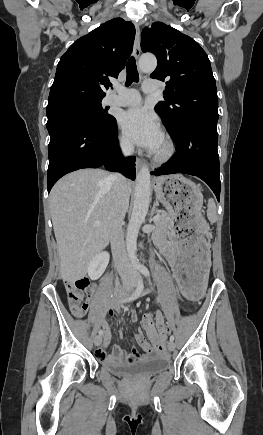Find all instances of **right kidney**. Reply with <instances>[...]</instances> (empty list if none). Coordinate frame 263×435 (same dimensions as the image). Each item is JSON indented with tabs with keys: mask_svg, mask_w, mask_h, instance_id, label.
I'll use <instances>...</instances> for the list:
<instances>
[{
	"mask_svg": "<svg viewBox=\"0 0 263 435\" xmlns=\"http://www.w3.org/2000/svg\"><path fill=\"white\" fill-rule=\"evenodd\" d=\"M109 263V254L107 252L97 253L88 265V276L92 280H97L104 273Z\"/></svg>",
	"mask_w": 263,
	"mask_h": 435,
	"instance_id": "obj_1",
	"label": "right kidney"
}]
</instances>
